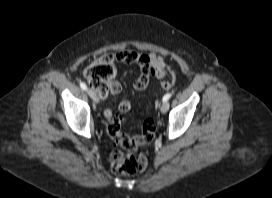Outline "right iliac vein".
<instances>
[{"instance_id":"1","label":"right iliac vein","mask_w":272,"mask_h":198,"mask_svg":"<svg viewBox=\"0 0 272 198\" xmlns=\"http://www.w3.org/2000/svg\"><path fill=\"white\" fill-rule=\"evenodd\" d=\"M88 95L96 102H98V97L97 95L92 91V90H88Z\"/></svg>"}]
</instances>
